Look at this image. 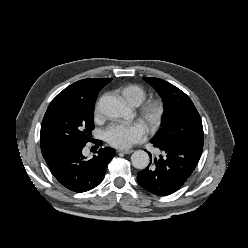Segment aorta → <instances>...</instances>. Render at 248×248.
<instances>
[{
    "label": "aorta",
    "mask_w": 248,
    "mask_h": 248,
    "mask_svg": "<svg viewBox=\"0 0 248 248\" xmlns=\"http://www.w3.org/2000/svg\"><path fill=\"white\" fill-rule=\"evenodd\" d=\"M98 109L103 115L110 118H128L130 116V109L124 101L113 96L100 98ZM149 160V155L143 150H137L131 156V163L137 169H145Z\"/></svg>",
    "instance_id": "762f6f07"
}]
</instances>
